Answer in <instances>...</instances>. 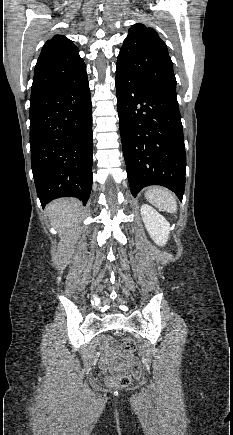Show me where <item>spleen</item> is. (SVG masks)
Segmentation results:
<instances>
[{
    "label": "spleen",
    "instance_id": "3e777b00",
    "mask_svg": "<svg viewBox=\"0 0 233 435\" xmlns=\"http://www.w3.org/2000/svg\"><path fill=\"white\" fill-rule=\"evenodd\" d=\"M145 198L155 207L168 213L177 211V202L175 195L166 188L153 186L145 192Z\"/></svg>",
    "mask_w": 233,
    "mask_h": 435
}]
</instances>
